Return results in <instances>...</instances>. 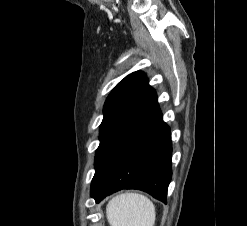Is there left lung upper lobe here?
<instances>
[{
  "mask_svg": "<svg viewBox=\"0 0 247 226\" xmlns=\"http://www.w3.org/2000/svg\"><path fill=\"white\" fill-rule=\"evenodd\" d=\"M145 79V74L133 72L120 81L108 96L104 105V118L100 125V131L107 125L128 97L136 90Z\"/></svg>",
  "mask_w": 247,
  "mask_h": 226,
  "instance_id": "1",
  "label": "left lung upper lobe"
}]
</instances>
